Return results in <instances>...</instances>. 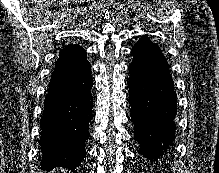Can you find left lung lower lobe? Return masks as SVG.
Returning a JSON list of instances; mask_svg holds the SVG:
<instances>
[{"mask_svg": "<svg viewBox=\"0 0 219 173\" xmlns=\"http://www.w3.org/2000/svg\"><path fill=\"white\" fill-rule=\"evenodd\" d=\"M129 103L134 137L150 164L167 159L175 137L176 94L167 60L160 47L141 37L131 50Z\"/></svg>", "mask_w": 219, "mask_h": 173, "instance_id": "0a47b994", "label": "left lung lower lobe"}]
</instances>
